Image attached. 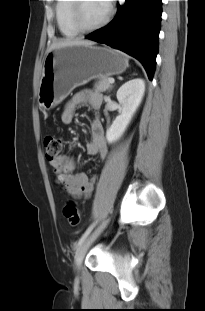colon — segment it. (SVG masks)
I'll return each mask as SVG.
<instances>
[{"label":"colon","mask_w":205,"mask_h":311,"mask_svg":"<svg viewBox=\"0 0 205 311\" xmlns=\"http://www.w3.org/2000/svg\"><path fill=\"white\" fill-rule=\"evenodd\" d=\"M45 157L51 162L60 155L63 147V141L59 137L46 136L44 139ZM63 215L68 224L76 227L80 223V211L78 205L74 201H68L63 208Z\"/></svg>","instance_id":"1"}]
</instances>
